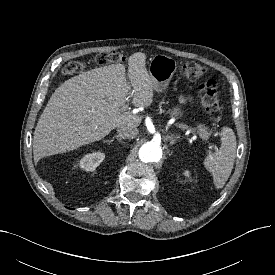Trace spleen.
Returning a JSON list of instances; mask_svg holds the SVG:
<instances>
[{"label":"spleen","mask_w":275,"mask_h":275,"mask_svg":"<svg viewBox=\"0 0 275 275\" xmlns=\"http://www.w3.org/2000/svg\"><path fill=\"white\" fill-rule=\"evenodd\" d=\"M220 136V149L209 154L203 162L205 168L212 174L216 188H222L232 172L237 145L231 128L223 127Z\"/></svg>","instance_id":"3e777b00"}]
</instances>
